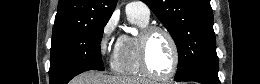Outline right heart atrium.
Listing matches in <instances>:
<instances>
[{
	"instance_id": "1",
	"label": "right heart atrium",
	"mask_w": 260,
	"mask_h": 84,
	"mask_svg": "<svg viewBox=\"0 0 260 84\" xmlns=\"http://www.w3.org/2000/svg\"><path fill=\"white\" fill-rule=\"evenodd\" d=\"M116 29V19L111 17L103 25L99 38V50L103 57L110 55L114 57L117 41H114V33Z\"/></svg>"
}]
</instances>
